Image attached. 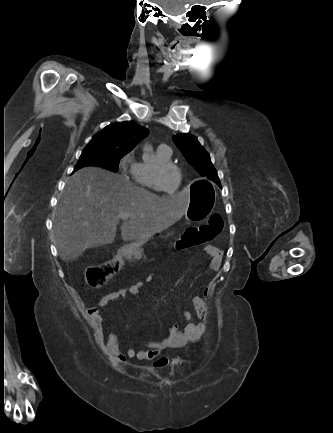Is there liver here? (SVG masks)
Wrapping results in <instances>:
<instances>
[{
  "instance_id": "liver-1",
  "label": "liver",
  "mask_w": 333,
  "mask_h": 433,
  "mask_svg": "<svg viewBox=\"0 0 333 433\" xmlns=\"http://www.w3.org/2000/svg\"><path fill=\"white\" fill-rule=\"evenodd\" d=\"M166 200L129 179L99 167H84L67 179L57 206L54 234L59 256L68 262L86 249L111 244L119 213L131 216L121 226L125 241L149 237L169 228L186 214L182 192Z\"/></svg>"
}]
</instances>
